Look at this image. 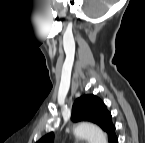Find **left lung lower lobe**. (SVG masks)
Listing matches in <instances>:
<instances>
[{
    "instance_id": "left-lung-lower-lobe-1",
    "label": "left lung lower lobe",
    "mask_w": 145,
    "mask_h": 143,
    "mask_svg": "<svg viewBox=\"0 0 145 143\" xmlns=\"http://www.w3.org/2000/svg\"><path fill=\"white\" fill-rule=\"evenodd\" d=\"M109 143H118L117 137H114L111 141H109Z\"/></svg>"
}]
</instances>
